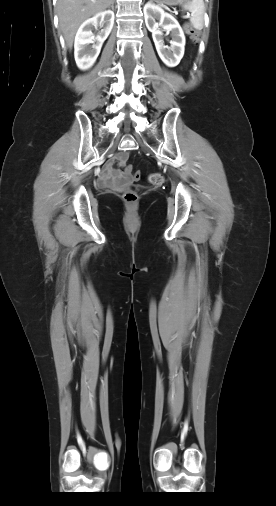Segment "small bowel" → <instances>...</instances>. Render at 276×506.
<instances>
[{
  "mask_svg": "<svg viewBox=\"0 0 276 506\" xmlns=\"http://www.w3.org/2000/svg\"><path fill=\"white\" fill-rule=\"evenodd\" d=\"M127 155L125 153H120L117 155L116 160L120 165H124L126 161ZM129 180V177L126 173L120 172L113 167V162H109L99 179V186L102 188L108 187H117L121 183Z\"/></svg>",
  "mask_w": 276,
  "mask_h": 506,
  "instance_id": "1",
  "label": "small bowel"
}]
</instances>
